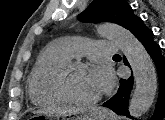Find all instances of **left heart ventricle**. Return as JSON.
Instances as JSON below:
<instances>
[{"label": "left heart ventricle", "instance_id": "obj_1", "mask_svg": "<svg viewBox=\"0 0 165 120\" xmlns=\"http://www.w3.org/2000/svg\"><path fill=\"white\" fill-rule=\"evenodd\" d=\"M71 93L83 99H91L101 94L89 69L75 70L69 77Z\"/></svg>", "mask_w": 165, "mask_h": 120}]
</instances>
